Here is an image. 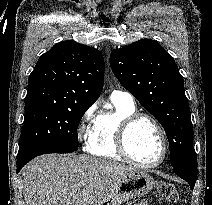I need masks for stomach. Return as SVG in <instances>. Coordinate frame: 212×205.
<instances>
[{
    "label": "stomach",
    "mask_w": 212,
    "mask_h": 205,
    "mask_svg": "<svg viewBox=\"0 0 212 205\" xmlns=\"http://www.w3.org/2000/svg\"><path fill=\"white\" fill-rule=\"evenodd\" d=\"M154 187L155 181L150 174L134 169L114 181L96 205H121L148 194Z\"/></svg>",
    "instance_id": "obj_1"
}]
</instances>
